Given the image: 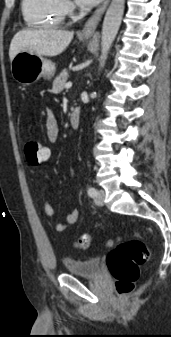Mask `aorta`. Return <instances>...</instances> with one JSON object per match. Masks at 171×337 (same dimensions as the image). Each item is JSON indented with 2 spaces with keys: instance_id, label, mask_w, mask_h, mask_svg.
<instances>
[{
  "instance_id": "obj_1",
  "label": "aorta",
  "mask_w": 171,
  "mask_h": 337,
  "mask_svg": "<svg viewBox=\"0 0 171 337\" xmlns=\"http://www.w3.org/2000/svg\"><path fill=\"white\" fill-rule=\"evenodd\" d=\"M125 8V0H112L107 9L101 36L100 66H104L109 50L118 33Z\"/></svg>"
}]
</instances>
